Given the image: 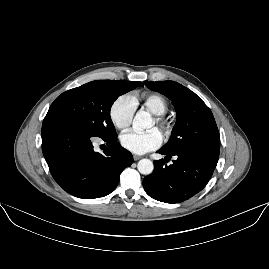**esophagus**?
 Wrapping results in <instances>:
<instances>
[{
    "label": "esophagus",
    "instance_id": "esophagus-1",
    "mask_svg": "<svg viewBox=\"0 0 269 269\" xmlns=\"http://www.w3.org/2000/svg\"><path fill=\"white\" fill-rule=\"evenodd\" d=\"M134 161H137L142 158V156L139 155H133Z\"/></svg>",
    "mask_w": 269,
    "mask_h": 269
}]
</instances>
